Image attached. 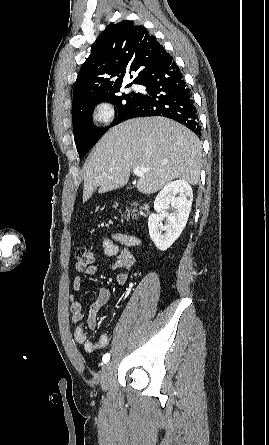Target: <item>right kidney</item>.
Instances as JSON below:
<instances>
[{
    "mask_svg": "<svg viewBox=\"0 0 269 445\" xmlns=\"http://www.w3.org/2000/svg\"><path fill=\"white\" fill-rule=\"evenodd\" d=\"M193 192L187 181L179 179L166 184L154 201L156 213L149 216V235L155 246L167 250L181 235L189 218ZM171 206L173 214L166 213ZM167 217V224L162 221Z\"/></svg>",
    "mask_w": 269,
    "mask_h": 445,
    "instance_id": "obj_1",
    "label": "right kidney"
}]
</instances>
